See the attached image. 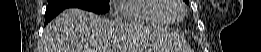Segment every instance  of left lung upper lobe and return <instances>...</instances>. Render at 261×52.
Masks as SVG:
<instances>
[{
	"label": "left lung upper lobe",
	"mask_w": 261,
	"mask_h": 52,
	"mask_svg": "<svg viewBox=\"0 0 261 52\" xmlns=\"http://www.w3.org/2000/svg\"><path fill=\"white\" fill-rule=\"evenodd\" d=\"M186 3H189V0H184Z\"/></svg>",
	"instance_id": "5c2ea615"
}]
</instances>
